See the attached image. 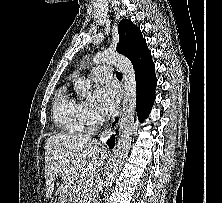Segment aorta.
<instances>
[{
    "label": "aorta",
    "mask_w": 222,
    "mask_h": 203,
    "mask_svg": "<svg viewBox=\"0 0 222 203\" xmlns=\"http://www.w3.org/2000/svg\"><path fill=\"white\" fill-rule=\"evenodd\" d=\"M93 63H106L117 66L119 71L122 73L124 80L123 113L119 127V137L115 155L106 181V188L104 192L105 195L108 188L111 187L112 183L114 182L129 152L134 129L137 87L133 65L124 55L111 51H105L103 53L96 54L93 58ZM76 89L86 98L92 97V85L89 79L84 82H77Z\"/></svg>",
    "instance_id": "aorta-1"
}]
</instances>
